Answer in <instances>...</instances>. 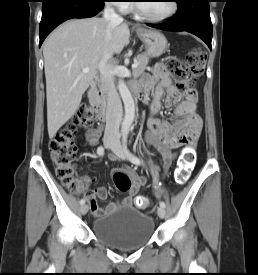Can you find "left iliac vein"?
I'll return each mask as SVG.
<instances>
[{
  "label": "left iliac vein",
  "instance_id": "left-iliac-vein-1",
  "mask_svg": "<svg viewBox=\"0 0 258 275\" xmlns=\"http://www.w3.org/2000/svg\"><path fill=\"white\" fill-rule=\"evenodd\" d=\"M112 152L120 159L126 160L127 154L125 149L122 147L118 139L114 140L113 145L111 146ZM158 215L160 218H164L166 216V210L164 207L158 208Z\"/></svg>",
  "mask_w": 258,
  "mask_h": 275
}]
</instances>
